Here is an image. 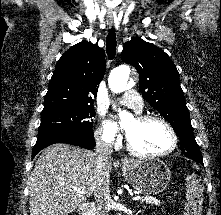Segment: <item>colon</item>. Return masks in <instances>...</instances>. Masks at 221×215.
I'll return each mask as SVG.
<instances>
[{
	"instance_id": "colon-1",
	"label": "colon",
	"mask_w": 221,
	"mask_h": 215,
	"mask_svg": "<svg viewBox=\"0 0 221 215\" xmlns=\"http://www.w3.org/2000/svg\"><path fill=\"white\" fill-rule=\"evenodd\" d=\"M186 191L187 201L183 215H202L203 188L198 174L192 173L188 176Z\"/></svg>"
}]
</instances>
